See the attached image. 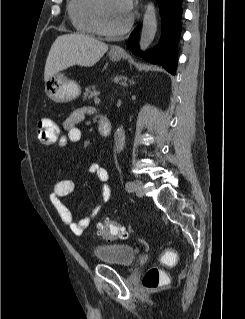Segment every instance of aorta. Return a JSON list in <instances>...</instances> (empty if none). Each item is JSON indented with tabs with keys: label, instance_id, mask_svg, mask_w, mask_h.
Masks as SVG:
<instances>
[{
	"label": "aorta",
	"instance_id": "obj_1",
	"mask_svg": "<svg viewBox=\"0 0 245 319\" xmlns=\"http://www.w3.org/2000/svg\"><path fill=\"white\" fill-rule=\"evenodd\" d=\"M157 31L156 11L154 4L149 2L146 6L141 37L139 40L140 49L145 51L149 48L154 40ZM125 146V131L123 126H120L117 131L116 149L118 152L122 151Z\"/></svg>",
	"mask_w": 245,
	"mask_h": 319
}]
</instances>
